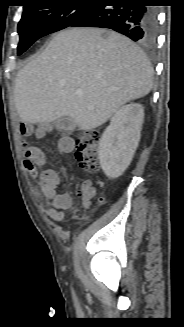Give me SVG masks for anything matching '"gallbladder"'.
Returning a JSON list of instances; mask_svg holds the SVG:
<instances>
[{"label": "gallbladder", "instance_id": "gallbladder-1", "mask_svg": "<svg viewBox=\"0 0 184 327\" xmlns=\"http://www.w3.org/2000/svg\"><path fill=\"white\" fill-rule=\"evenodd\" d=\"M76 127V122L71 117H63L56 122V129L59 131H70Z\"/></svg>", "mask_w": 184, "mask_h": 327}]
</instances>
